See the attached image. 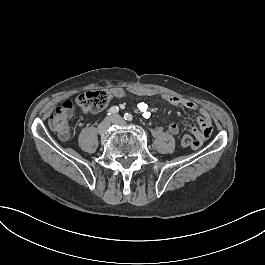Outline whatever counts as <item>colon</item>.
Wrapping results in <instances>:
<instances>
[{
  "label": "colon",
  "mask_w": 265,
  "mask_h": 265,
  "mask_svg": "<svg viewBox=\"0 0 265 265\" xmlns=\"http://www.w3.org/2000/svg\"><path fill=\"white\" fill-rule=\"evenodd\" d=\"M112 100V94L108 89H93L88 90L80 95L71 96L67 102L59 107L54 114L50 116L49 125L58 136L65 140L69 136L68 129L66 127L67 114L71 110V105L77 102L78 106L84 113H96L105 109ZM194 137L185 135L182 138V144L185 147H191Z\"/></svg>",
  "instance_id": "1"
}]
</instances>
